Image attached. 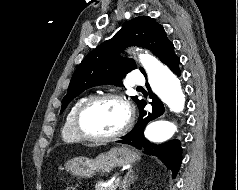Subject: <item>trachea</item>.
Here are the masks:
<instances>
[{"mask_svg":"<svg viewBox=\"0 0 238 190\" xmlns=\"http://www.w3.org/2000/svg\"><path fill=\"white\" fill-rule=\"evenodd\" d=\"M137 88H138V89H141L142 87L139 86V87H137Z\"/></svg>","mask_w":238,"mask_h":190,"instance_id":"3493384b","label":"trachea"}]
</instances>
